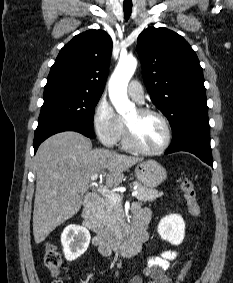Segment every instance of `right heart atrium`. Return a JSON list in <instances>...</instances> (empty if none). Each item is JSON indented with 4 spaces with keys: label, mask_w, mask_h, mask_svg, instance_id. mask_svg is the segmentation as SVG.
Listing matches in <instances>:
<instances>
[{
    "label": "right heart atrium",
    "mask_w": 233,
    "mask_h": 283,
    "mask_svg": "<svg viewBox=\"0 0 233 283\" xmlns=\"http://www.w3.org/2000/svg\"><path fill=\"white\" fill-rule=\"evenodd\" d=\"M94 130L99 140L106 146L118 142L123 131V121L105 99H100L93 111Z\"/></svg>",
    "instance_id": "1"
}]
</instances>
